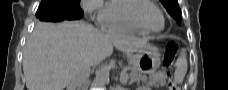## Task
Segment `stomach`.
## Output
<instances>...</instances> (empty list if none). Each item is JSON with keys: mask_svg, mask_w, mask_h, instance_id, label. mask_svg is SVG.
<instances>
[{"mask_svg": "<svg viewBox=\"0 0 228 90\" xmlns=\"http://www.w3.org/2000/svg\"><path fill=\"white\" fill-rule=\"evenodd\" d=\"M130 64L141 73H152L160 66V53L158 48L147 44L135 55L129 57Z\"/></svg>", "mask_w": 228, "mask_h": 90, "instance_id": "1", "label": "stomach"}]
</instances>
